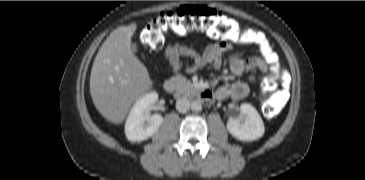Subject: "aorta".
<instances>
[{
  "label": "aorta",
  "instance_id": "aorta-1",
  "mask_svg": "<svg viewBox=\"0 0 365 180\" xmlns=\"http://www.w3.org/2000/svg\"><path fill=\"white\" fill-rule=\"evenodd\" d=\"M191 109L195 112H199L202 110V104L200 101H193L191 104Z\"/></svg>",
  "mask_w": 365,
  "mask_h": 180
}]
</instances>
